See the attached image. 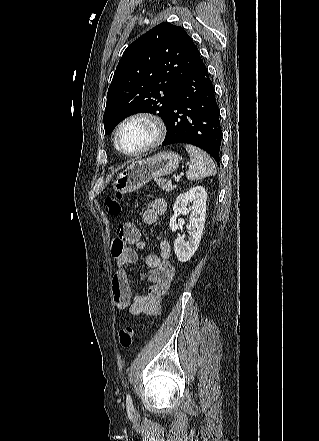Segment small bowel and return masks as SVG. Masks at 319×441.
<instances>
[{
  "label": "small bowel",
  "instance_id": "1",
  "mask_svg": "<svg viewBox=\"0 0 319 441\" xmlns=\"http://www.w3.org/2000/svg\"><path fill=\"white\" fill-rule=\"evenodd\" d=\"M167 209L163 198H155L146 204L142 221L146 225H155L159 216ZM143 250L145 244L142 235L134 223H124L117 229L111 250L116 258L117 272L111 283L112 298L117 310L128 309L134 315H158L161 312L162 296L168 291L174 278V268L168 261L170 245L166 240L160 243L159 254H148L145 258L148 272L145 278L151 283L144 294L134 295L127 276V268L138 261L136 249Z\"/></svg>",
  "mask_w": 319,
  "mask_h": 441
}]
</instances>
